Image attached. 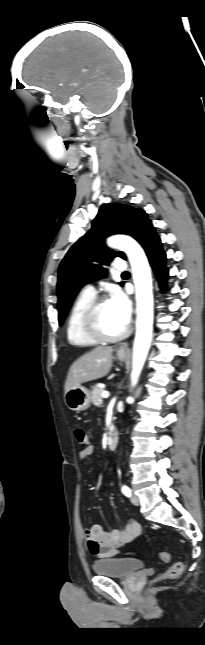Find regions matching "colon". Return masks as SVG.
Segmentation results:
<instances>
[{"label":"colon","mask_w":205,"mask_h":645,"mask_svg":"<svg viewBox=\"0 0 205 645\" xmlns=\"http://www.w3.org/2000/svg\"><path fill=\"white\" fill-rule=\"evenodd\" d=\"M75 438L80 446L88 447L90 443V437H89V434L84 429H81V428L76 429ZM159 558L163 562H168L169 554L166 552H161L159 553ZM183 569H184L183 563L176 562L165 572L164 577L168 579H175L182 574Z\"/></svg>","instance_id":"5ec220e1"}]
</instances>
